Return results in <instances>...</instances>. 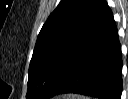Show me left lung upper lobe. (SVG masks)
I'll list each match as a JSON object with an SVG mask.
<instances>
[{"label": "left lung upper lobe", "mask_w": 128, "mask_h": 99, "mask_svg": "<svg viewBox=\"0 0 128 99\" xmlns=\"http://www.w3.org/2000/svg\"><path fill=\"white\" fill-rule=\"evenodd\" d=\"M107 9L105 0H61L38 35L28 71L27 99H47L64 64Z\"/></svg>", "instance_id": "1"}]
</instances>
